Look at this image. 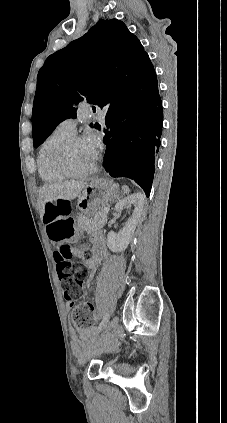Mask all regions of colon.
I'll return each instance as SVG.
<instances>
[{"mask_svg": "<svg viewBox=\"0 0 227 423\" xmlns=\"http://www.w3.org/2000/svg\"><path fill=\"white\" fill-rule=\"evenodd\" d=\"M66 208L61 204L50 203L47 208L45 222H52L64 213ZM74 234L72 222L61 223L53 229V237L58 244L54 252L56 268L66 300L76 301L80 297V288L88 276L87 269L73 262L74 249L68 243ZM81 254V252L79 251ZM94 307L89 302H81L73 312L74 323L80 328L92 327Z\"/></svg>", "mask_w": 227, "mask_h": 423, "instance_id": "1", "label": "colon"}]
</instances>
